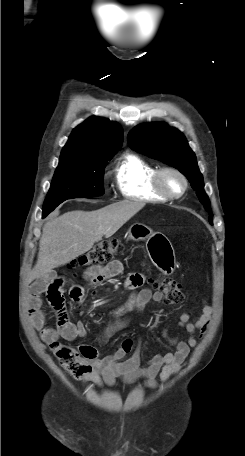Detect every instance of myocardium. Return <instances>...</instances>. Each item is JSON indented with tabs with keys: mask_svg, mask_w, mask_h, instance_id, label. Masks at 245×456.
I'll return each mask as SVG.
<instances>
[{
	"mask_svg": "<svg viewBox=\"0 0 245 456\" xmlns=\"http://www.w3.org/2000/svg\"><path fill=\"white\" fill-rule=\"evenodd\" d=\"M166 173H173L177 175L183 182V189L180 193L178 194H173L169 192L165 186L163 185V175ZM152 186L153 189L161 196L168 200H175L181 198L187 191L188 189V179L187 177L177 168L166 166L159 168L155 171L153 177H152Z\"/></svg>",
	"mask_w": 245,
	"mask_h": 456,
	"instance_id": "f54148a6",
	"label": "myocardium"
}]
</instances>
